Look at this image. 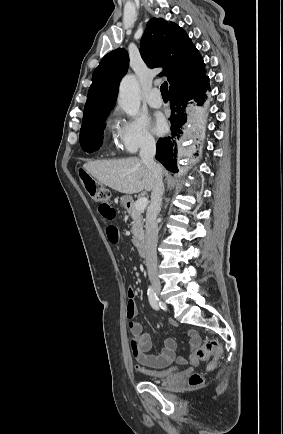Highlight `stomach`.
<instances>
[{
  "label": "stomach",
  "instance_id": "0dacf381",
  "mask_svg": "<svg viewBox=\"0 0 283 434\" xmlns=\"http://www.w3.org/2000/svg\"><path fill=\"white\" fill-rule=\"evenodd\" d=\"M132 202V198L130 196H122L121 197V204L124 207H127V204Z\"/></svg>",
  "mask_w": 283,
  "mask_h": 434
}]
</instances>
